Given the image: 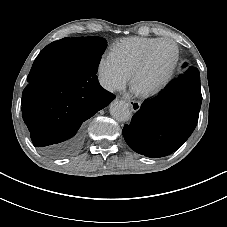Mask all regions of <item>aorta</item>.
<instances>
[{
    "label": "aorta",
    "instance_id": "aorta-1",
    "mask_svg": "<svg viewBox=\"0 0 227 227\" xmlns=\"http://www.w3.org/2000/svg\"><path fill=\"white\" fill-rule=\"evenodd\" d=\"M111 116L120 122L128 121L131 118V111L125 101L114 100L109 108Z\"/></svg>",
    "mask_w": 227,
    "mask_h": 227
}]
</instances>
